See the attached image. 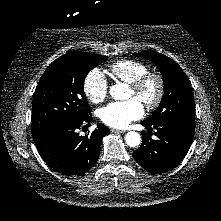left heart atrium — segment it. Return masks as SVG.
<instances>
[{
    "instance_id": "left-heart-atrium-1",
    "label": "left heart atrium",
    "mask_w": 221,
    "mask_h": 221,
    "mask_svg": "<svg viewBox=\"0 0 221 221\" xmlns=\"http://www.w3.org/2000/svg\"><path fill=\"white\" fill-rule=\"evenodd\" d=\"M141 101L132 97L123 102H112L99 110L100 120L114 128H124L132 121L143 116Z\"/></svg>"
}]
</instances>
